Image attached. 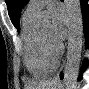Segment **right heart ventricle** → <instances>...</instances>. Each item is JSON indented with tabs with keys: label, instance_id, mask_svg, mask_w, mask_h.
<instances>
[{
	"label": "right heart ventricle",
	"instance_id": "obj_1",
	"mask_svg": "<svg viewBox=\"0 0 89 89\" xmlns=\"http://www.w3.org/2000/svg\"><path fill=\"white\" fill-rule=\"evenodd\" d=\"M36 16L37 14L27 11L22 16L24 62L32 75L43 76L49 74L56 68L57 61L48 58L42 50Z\"/></svg>",
	"mask_w": 89,
	"mask_h": 89
}]
</instances>
